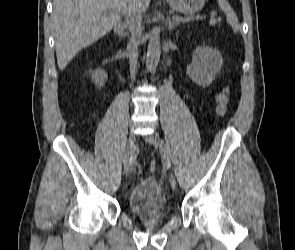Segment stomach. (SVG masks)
Segmentation results:
<instances>
[{"instance_id":"0dacf381","label":"stomach","mask_w":295,"mask_h":250,"mask_svg":"<svg viewBox=\"0 0 295 250\" xmlns=\"http://www.w3.org/2000/svg\"><path fill=\"white\" fill-rule=\"evenodd\" d=\"M172 9L183 14H194L200 11L206 0H166Z\"/></svg>"}]
</instances>
